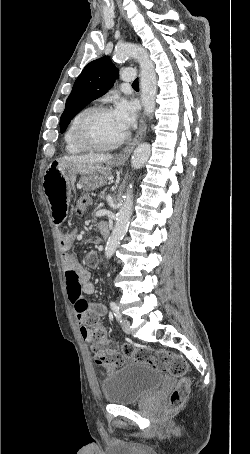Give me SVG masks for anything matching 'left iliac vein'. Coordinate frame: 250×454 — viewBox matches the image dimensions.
<instances>
[{"label": "left iliac vein", "instance_id": "1", "mask_svg": "<svg viewBox=\"0 0 250 454\" xmlns=\"http://www.w3.org/2000/svg\"><path fill=\"white\" fill-rule=\"evenodd\" d=\"M122 329L126 334L131 333V328H130V321L128 319H123L122 320Z\"/></svg>", "mask_w": 250, "mask_h": 454}]
</instances>
